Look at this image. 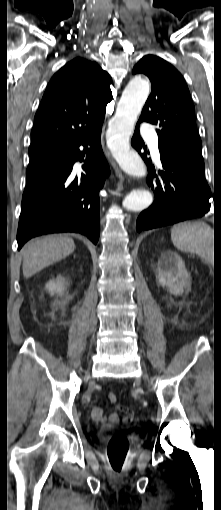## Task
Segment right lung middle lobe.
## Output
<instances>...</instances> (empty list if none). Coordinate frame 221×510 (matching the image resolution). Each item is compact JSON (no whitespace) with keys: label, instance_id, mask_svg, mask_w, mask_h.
I'll use <instances>...</instances> for the list:
<instances>
[{"label":"right lung middle lobe","instance_id":"obj_1","mask_svg":"<svg viewBox=\"0 0 221 510\" xmlns=\"http://www.w3.org/2000/svg\"><path fill=\"white\" fill-rule=\"evenodd\" d=\"M54 151L56 150H44V151H37V152H30V159L31 160H34V159H38L44 155H47V154H51L53 153Z\"/></svg>","mask_w":221,"mask_h":510}]
</instances>
